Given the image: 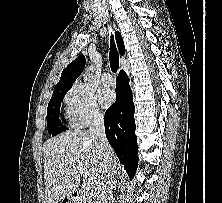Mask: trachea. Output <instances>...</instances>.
<instances>
[{"instance_id":"1","label":"trachea","mask_w":222,"mask_h":203,"mask_svg":"<svg viewBox=\"0 0 222 203\" xmlns=\"http://www.w3.org/2000/svg\"><path fill=\"white\" fill-rule=\"evenodd\" d=\"M109 59L112 72H117L119 68V55L114 43L113 36H111Z\"/></svg>"}]
</instances>
